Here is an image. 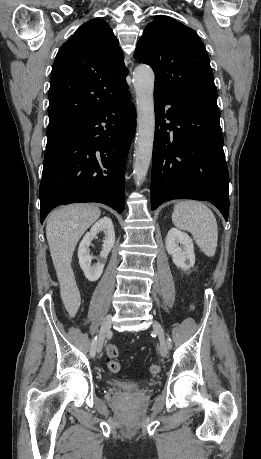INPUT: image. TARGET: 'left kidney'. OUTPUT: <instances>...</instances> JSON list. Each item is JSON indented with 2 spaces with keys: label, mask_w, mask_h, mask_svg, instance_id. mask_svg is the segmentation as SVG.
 Segmentation results:
<instances>
[{
  "label": "left kidney",
  "mask_w": 261,
  "mask_h": 459,
  "mask_svg": "<svg viewBox=\"0 0 261 459\" xmlns=\"http://www.w3.org/2000/svg\"><path fill=\"white\" fill-rule=\"evenodd\" d=\"M166 250L172 256L173 263L182 270H188L195 264L192 239L185 232L171 228L166 236Z\"/></svg>",
  "instance_id": "5707ae66"
}]
</instances>
